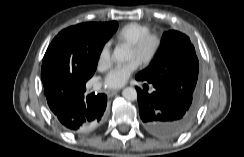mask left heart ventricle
I'll use <instances>...</instances> for the list:
<instances>
[{"instance_id": "left-heart-ventricle-1", "label": "left heart ventricle", "mask_w": 244, "mask_h": 157, "mask_svg": "<svg viewBox=\"0 0 244 157\" xmlns=\"http://www.w3.org/2000/svg\"><path fill=\"white\" fill-rule=\"evenodd\" d=\"M142 56V53H136L134 52L132 49H129V56L128 58L131 60V59H136V60H140Z\"/></svg>"}]
</instances>
